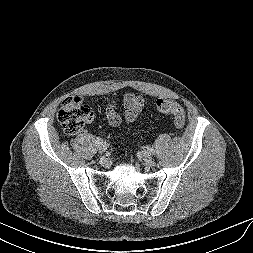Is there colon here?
I'll list each match as a JSON object with an SVG mask.
<instances>
[{"label":"colon","instance_id":"obj_1","mask_svg":"<svg viewBox=\"0 0 253 253\" xmlns=\"http://www.w3.org/2000/svg\"><path fill=\"white\" fill-rule=\"evenodd\" d=\"M157 110L162 114H171L177 127L185 124L186 113L181 104L170 99H159L156 103ZM57 118L67 134H77L84 124L93 120L91 109L79 97L66 98L58 111Z\"/></svg>","mask_w":253,"mask_h":253}]
</instances>
